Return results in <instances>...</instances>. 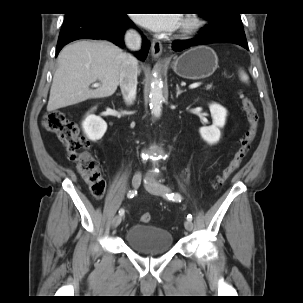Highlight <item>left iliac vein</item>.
<instances>
[{
	"instance_id": "4c4485c4",
	"label": "left iliac vein",
	"mask_w": 303,
	"mask_h": 303,
	"mask_svg": "<svg viewBox=\"0 0 303 303\" xmlns=\"http://www.w3.org/2000/svg\"><path fill=\"white\" fill-rule=\"evenodd\" d=\"M145 187L149 192L160 196H165L168 192H170V189L167 186L160 184L155 180H148L145 183ZM184 226L188 231L193 229V223L190 220H186L184 222Z\"/></svg>"
}]
</instances>
